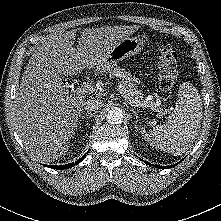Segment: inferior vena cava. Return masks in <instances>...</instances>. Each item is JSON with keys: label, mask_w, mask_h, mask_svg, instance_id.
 I'll use <instances>...</instances> for the list:
<instances>
[{"label": "inferior vena cava", "mask_w": 221, "mask_h": 221, "mask_svg": "<svg viewBox=\"0 0 221 221\" xmlns=\"http://www.w3.org/2000/svg\"><path fill=\"white\" fill-rule=\"evenodd\" d=\"M104 105L103 101L100 99H89L85 102L84 108L87 111H96Z\"/></svg>", "instance_id": "1"}]
</instances>
